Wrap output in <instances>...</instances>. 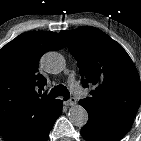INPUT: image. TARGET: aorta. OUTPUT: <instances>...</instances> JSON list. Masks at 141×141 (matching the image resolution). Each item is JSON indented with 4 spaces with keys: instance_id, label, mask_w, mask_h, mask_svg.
I'll return each instance as SVG.
<instances>
[{
    "instance_id": "aorta-1",
    "label": "aorta",
    "mask_w": 141,
    "mask_h": 141,
    "mask_svg": "<svg viewBox=\"0 0 141 141\" xmlns=\"http://www.w3.org/2000/svg\"><path fill=\"white\" fill-rule=\"evenodd\" d=\"M41 65L46 72L58 74L64 68V59L57 52H47L41 58ZM68 118L74 126L79 128L85 126L89 119L86 109L81 105L71 107L68 112Z\"/></svg>"
}]
</instances>
